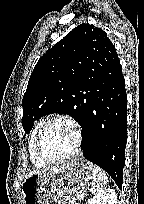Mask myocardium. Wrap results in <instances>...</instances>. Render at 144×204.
I'll return each instance as SVG.
<instances>
[{
    "label": "myocardium",
    "mask_w": 144,
    "mask_h": 204,
    "mask_svg": "<svg viewBox=\"0 0 144 204\" xmlns=\"http://www.w3.org/2000/svg\"><path fill=\"white\" fill-rule=\"evenodd\" d=\"M54 122H65L69 124L73 128L75 133V145L72 152L61 158L48 157L47 155H45L41 147L42 139L45 132L47 131L49 126ZM82 143H83V132H82V127L80 123L72 116L59 114V115H54L48 118L47 120H45V122L39 129L35 140V151L37 156L46 163H50V164L64 163L75 158L80 153Z\"/></svg>",
    "instance_id": "f54148a6"
}]
</instances>
